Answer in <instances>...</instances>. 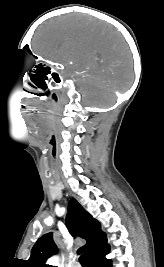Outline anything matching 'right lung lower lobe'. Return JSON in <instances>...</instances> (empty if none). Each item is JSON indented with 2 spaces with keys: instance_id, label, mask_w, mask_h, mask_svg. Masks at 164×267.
<instances>
[{
  "instance_id": "obj_1",
  "label": "right lung lower lobe",
  "mask_w": 164,
  "mask_h": 267,
  "mask_svg": "<svg viewBox=\"0 0 164 267\" xmlns=\"http://www.w3.org/2000/svg\"><path fill=\"white\" fill-rule=\"evenodd\" d=\"M108 252L109 249L89 259V267H111V261L105 257Z\"/></svg>"
}]
</instances>
